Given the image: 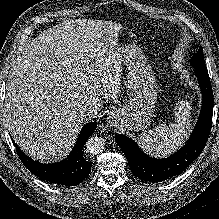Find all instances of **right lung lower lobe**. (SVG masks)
Returning a JSON list of instances; mask_svg holds the SVG:
<instances>
[{"instance_id":"98d812e1","label":"right lung lower lobe","mask_w":219,"mask_h":219,"mask_svg":"<svg viewBox=\"0 0 219 219\" xmlns=\"http://www.w3.org/2000/svg\"><path fill=\"white\" fill-rule=\"evenodd\" d=\"M96 127L97 122L86 124L81 130L75 147L68 158L52 164H43L34 161L13 143L16 146L21 161L31 173L51 183L75 186L81 183L91 171L92 163L83 157L82 149L86 140L94 132Z\"/></svg>"}]
</instances>
